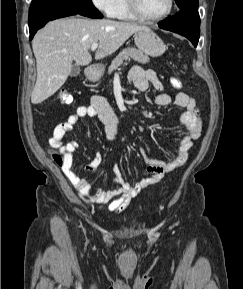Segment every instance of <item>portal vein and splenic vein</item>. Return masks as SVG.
<instances>
[{"instance_id": "obj_1", "label": "portal vein and splenic vein", "mask_w": 243, "mask_h": 289, "mask_svg": "<svg viewBox=\"0 0 243 289\" xmlns=\"http://www.w3.org/2000/svg\"><path fill=\"white\" fill-rule=\"evenodd\" d=\"M98 48V43H93L91 45V51H95Z\"/></svg>"}]
</instances>
